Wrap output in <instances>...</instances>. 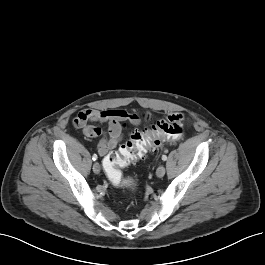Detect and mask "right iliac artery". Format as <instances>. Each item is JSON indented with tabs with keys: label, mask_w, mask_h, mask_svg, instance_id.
<instances>
[{
	"label": "right iliac artery",
	"mask_w": 265,
	"mask_h": 265,
	"mask_svg": "<svg viewBox=\"0 0 265 265\" xmlns=\"http://www.w3.org/2000/svg\"><path fill=\"white\" fill-rule=\"evenodd\" d=\"M92 159H93L94 161H96V160L98 159V156H97L96 154H94V155L92 156Z\"/></svg>",
	"instance_id": "82829eb1"
}]
</instances>
